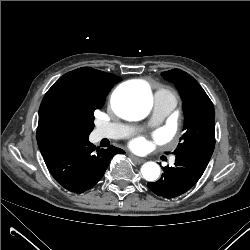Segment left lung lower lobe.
<instances>
[{"mask_svg": "<svg viewBox=\"0 0 250 250\" xmlns=\"http://www.w3.org/2000/svg\"><path fill=\"white\" fill-rule=\"evenodd\" d=\"M214 145L191 147L176 155L174 167H164L161 178L148 183L158 196L174 198L187 192L200 179L212 156Z\"/></svg>", "mask_w": 250, "mask_h": 250, "instance_id": "obj_1", "label": "left lung lower lobe"}]
</instances>
